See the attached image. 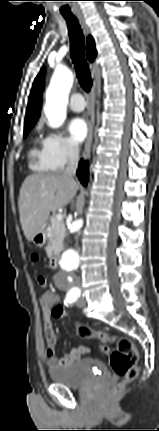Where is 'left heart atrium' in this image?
<instances>
[{
    "mask_svg": "<svg viewBox=\"0 0 159 431\" xmlns=\"http://www.w3.org/2000/svg\"><path fill=\"white\" fill-rule=\"evenodd\" d=\"M68 131L74 143H81L87 135V124L83 118H74L68 125Z\"/></svg>",
    "mask_w": 159,
    "mask_h": 431,
    "instance_id": "left-heart-atrium-1",
    "label": "left heart atrium"
}]
</instances>
